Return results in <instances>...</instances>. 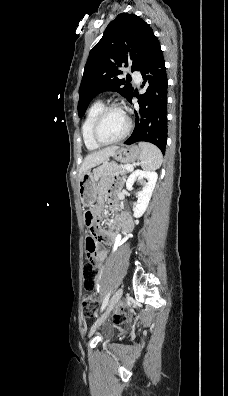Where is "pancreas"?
Here are the masks:
<instances>
[{
    "label": "pancreas",
    "instance_id": "cf45deb5",
    "mask_svg": "<svg viewBox=\"0 0 228 396\" xmlns=\"http://www.w3.org/2000/svg\"><path fill=\"white\" fill-rule=\"evenodd\" d=\"M123 165H118L116 163H109L100 168H98V173L96 175V181L102 177H111V176H125L128 171L125 168H122Z\"/></svg>",
    "mask_w": 228,
    "mask_h": 396
}]
</instances>
